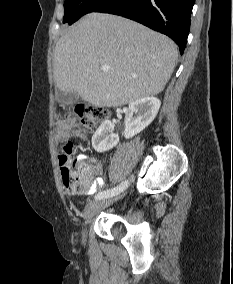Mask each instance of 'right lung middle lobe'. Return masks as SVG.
<instances>
[{"label":"right lung middle lobe","instance_id":"dd1d6c3e","mask_svg":"<svg viewBox=\"0 0 233 284\" xmlns=\"http://www.w3.org/2000/svg\"><path fill=\"white\" fill-rule=\"evenodd\" d=\"M108 0H65L63 23L70 25Z\"/></svg>","mask_w":233,"mask_h":284}]
</instances>
